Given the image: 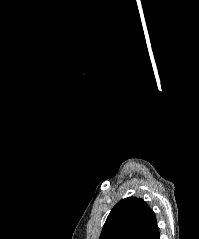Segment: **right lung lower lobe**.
I'll list each match as a JSON object with an SVG mask.
<instances>
[{
  "label": "right lung lower lobe",
  "instance_id": "1",
  "mask_svg": "<svg viewBox=\"0 0 199 239\" xmlns=\"http://www.w3.org/2000/svg\"><path fill=\"white\" fill-rule=\"evenodd\" d=\"M142 239H160L159 229L156 225L149 233H147Z\"/></svg>",
  "mask_w": 199,
  "mask_h": 239
}]
</instances>
